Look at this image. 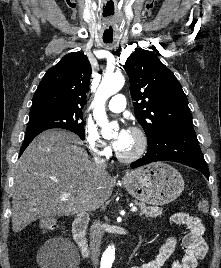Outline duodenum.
Listing matches in <instances>:
<instances>
[{"instance_id":"1","label":"duodenum","mask_w":221,"mask_h":268,"mask_svg":"<svg viewBox=\"0 0 221 268\" xmlns=\"http://www.w3.org/2000/svg\"><path fill=\"white\" fill-rule=\"evenodd\" d=\"M88 215L84 213L78 214L72 224V236L75 243L78 245L84 256H89L88 241L85 236L86 227L88 224Z\"/></svg>"}]
</instances>
